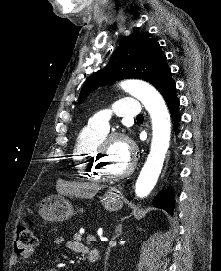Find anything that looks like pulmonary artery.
Segmentation results:
<instances>
[{
	"label": "pulmonary artery",
	"instance_id": "obj_1",
	"mask_svg": "<svg viewBox=\"0 0 221 271\" xmlns=\"http://www.w3.org/2000/svg\"><path fill=\"white\" fill-rule=\"evenodd\" d=\"M118 102V107H103V112H96V117H91L88 127H109V122H118V117H138L142 112L140 102H135V98H122ZM111 112H118V117H111ZM109 128H79V138H98V133H109Z\"/></svg>",
	"mask_w": 221,
	"mask_h": 271
}]
</instances>
